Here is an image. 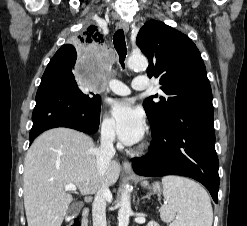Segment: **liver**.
I'll return each mask as SVG.
<instances>
[{"label":"liver","instance_id":"obj_1","mask_svg":"<svg viewBox=\"0 0 247 226\" xmlns=\"http://www.w3.org/2000/svg\"><path fill=\"white\" fill-rule=\"evenodd\" d=\"M92 139L73 129L59 127L41 134L24 161L23 190L28 226H61L73 201L64 185L74 184L81 195H91L104 184L109 187L120 175L111 161L99 175Z\"/></svg>","mask_w":247,"mask_h":226}]
</instances>
